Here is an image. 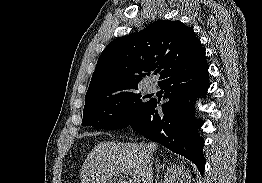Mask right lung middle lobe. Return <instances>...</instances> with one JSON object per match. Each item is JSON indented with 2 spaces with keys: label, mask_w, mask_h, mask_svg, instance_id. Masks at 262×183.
<instances>
[{
  "label": "right lung middle lobe",
  "mask_w": 262,
  "mask_h": 183,
  "mask_svg": "<svg viewBox=\"0 0 262 183\" xmlns=\"http://www.w3.org/2000/svg\"><path fill=\"white\" fill-rule=\"evenodd\" d=\"M136 89L85 103L82 126L111 130L129 126L150 103Z\"/></svg>",
  "instance_id": "dd1d6c3e"
}]
</instances>
